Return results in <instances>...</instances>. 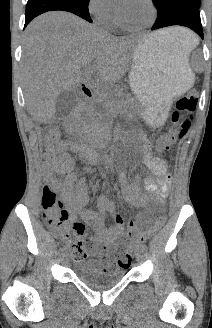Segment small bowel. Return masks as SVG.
Listing matches in <instances>:
<instances>
[{
    "mask_svg": "<svg viewBox=\"0 0 212 328\" xmlns=\"http://www.w3.org/2000/svg\"><path fill=\"white\" fill-rule=\"evenodd\" d=\"M76 148L77 144L71 141H61L55 146H47L44 153L43 169L55 188L62 192L67 203L66 210L70 220L74 223H80L76 222L80 218L91 225L94 231L91 247L96 258L93 262L97 268L106 272L112 268H118L117 264L108 262V257L120 241L124 238H132L141 229L146 228L150 223V217L147 212L141 211L135 220H127L116 210L113 203L102 198L98 203L100 212L115 222L114 225L106 228L100 215L84 208L89 198L88 180L86 178L78 180V173L74 170L73 160L67 152L68 150L76 152ZM143 162L154 175L159 177L158 181L147 180L145 188L149 193L155 195V202L162 205L170 192L171 174L167 164L164 160L151 154L147 142L144 143L143 147ZM118 181L125 202L133 209H145L148 198L141 195L135 187L129 185L127 175L120 173ZM86 257L87 253L80 259Z\"/></svg>",
    "mask_w": 212,
    "mask_h": 328,
    "instance_id": "1",
    "label": "small bowel"
}]
</instances>
